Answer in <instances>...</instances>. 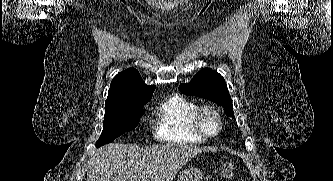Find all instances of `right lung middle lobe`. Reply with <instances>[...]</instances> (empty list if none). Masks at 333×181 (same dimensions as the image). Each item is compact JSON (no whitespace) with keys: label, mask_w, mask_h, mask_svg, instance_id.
<instances>
[{"label":"right lung middle lobe","mask_w":333,"mask_h":181,"mask_svg":"<svg viewBox=\"0 0 333 181\" xmlns=\"http://www.w3.org/2000/svg\"><path fill=\"white\" fill-rule=\"evenodd\" d=\"M143 105L145 103L105 111L103 131L97 140L96 147L110 143L125 132L133 130L144 114Z\"/></svg>","instance_id":"right-lung-middle-lobe-1"}]
</instances>
